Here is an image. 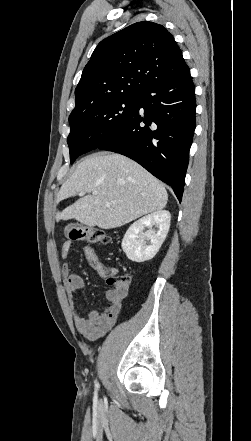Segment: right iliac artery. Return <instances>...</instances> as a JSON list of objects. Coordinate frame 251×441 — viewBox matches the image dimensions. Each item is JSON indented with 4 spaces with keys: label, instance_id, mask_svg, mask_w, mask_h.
<instances>
[{
    "label": "right iliac artery",
    "instance_id": "obj_1",
    "mask_svg": "<svg viewBox=\"0 0 251 441\" xmlns=\"http://www.w3.org/2000/svg\"><path fill=\"white\" fill-rule=\"evenodd\" d=\"M95 388L96 390L99 388V383L97 381L95 382Z\"/></svg>",
    "mask_w": 251,
    "mask_h": 441
}]
</instances>
